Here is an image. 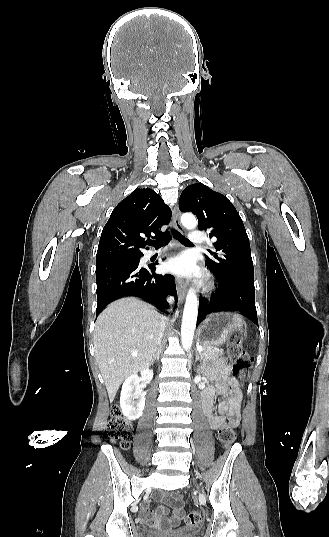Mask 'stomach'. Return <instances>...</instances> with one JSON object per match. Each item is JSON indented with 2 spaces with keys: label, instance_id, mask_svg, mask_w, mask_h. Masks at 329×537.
Here are the masks:
<instances>
[{
  "label": "stomach",
  "instance_id": "1",
  "mask_svg": "<svg viewBox=\"0 0 329 537\" xmlns=\"http://www.w3.org/2000/svg\"><path fill=\"white\" fill-rule=\"evenodd\" d=\"M241 315L231 312L210 314L198 329V341L203 345H222L230 335L245 332Z\"/></svg>",
  "mask_w": 329,
  "mask_h": 537
}]
</instances>
